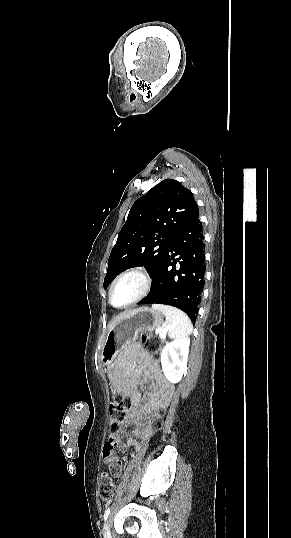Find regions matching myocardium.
I'll use <instances>...</instances> for the list:
<instances>
[{
  "instance_id": "f54148a6",
  "label": "myocardium",
  "mask_w": 291,
  "mask_h": 538,
  "mask_svg": "<svg viewBox=\"0 0 291 538\" xmlns=\"http://www.w3.org/2000/svg\"><path fill=\"white\" fill-rule=\"evenodd\" d=\"M128 276H137V277H139L142 280V283H143L142 289L134 298H132L127 303H125V304H123L121 306H116L112 301V295H113L114 288L123 278L128 277ZM152 283H153V281H152L151 275L147 271H145L144 269L130 268V269L124 270L121 273H119L115 277V279L112 281V283L110 284V287H109V290H108V301H109L110 305L113 306L114 308H117V309L127 308V307H129V306H131V305H133L135 303H138L142 299H144L149 294V292H150V290L152 288Z\"/></svg>"
}]
</instances>
